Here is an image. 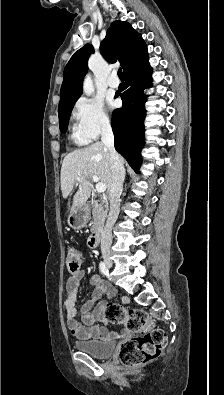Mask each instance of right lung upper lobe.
<instances>
[{
	"label": "right lung upper lobe",
	"mask_w": 224,
	"mask_h": 395,
	"mask_svg": "<svg viewBox=\"0 0 224 395\" xmlns=\"http://www.w3.org/2000/svg\"><path fill=\"white\" fill-rule=\"evenodd\" d=\"M100 50L108 61L113 63L118 60L125 71L147 51V48L141 34L137 33L129 23L118 20L108 29ZM93 52L92 45L87 44L70 58L64 69L58 109L67 106L81 95L83 77L88 70V57Z\"/></svg>",
	"instance_id": "cb5924a9"
}]
</instances>
